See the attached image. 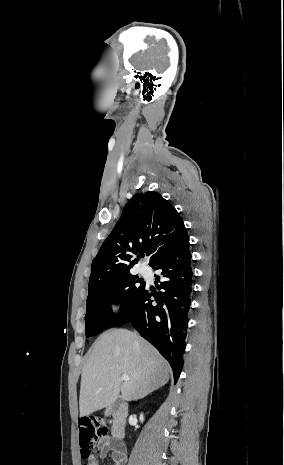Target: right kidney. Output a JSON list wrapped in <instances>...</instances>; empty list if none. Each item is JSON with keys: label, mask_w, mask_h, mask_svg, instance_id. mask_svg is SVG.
Returning a JSON list of instances; mask_svg holds the SVG:
<instances>
[{"label": "right kidney", "mask_w": 284, "mask_h": 465, "mask_svg": "<svg viewBox=\"0 0 284 465\" xmlns=\"http://www.w3.org/2000/svg\"><path fill=\"white\" fill-rule=\"evenodd\" d=\"M140 421H141V423H142V421H143V415H140Z\"/></svg>", "instance_id": "ca27d5eb"}]
</instances>
